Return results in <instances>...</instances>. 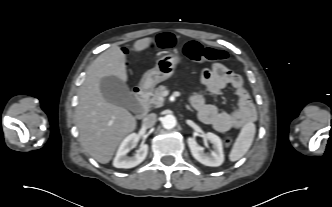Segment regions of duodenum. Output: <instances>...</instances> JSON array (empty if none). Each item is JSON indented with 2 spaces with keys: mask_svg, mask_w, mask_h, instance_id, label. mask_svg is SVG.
Segmentation results:
<instances>
[{
  "mask_svg": "<svg viewBox=\"0 0 332 207\" xmlns=\"http://www.w3.org/2000/svg\"><path fill=\"white\" fill-rule=\"evenodd\" d=\"M134 96L140 105L137 116L138 118L142 119L148 111L147 102L149 96V89L145 86L138 87L137 89H135Z\"/></svg>",
  "mask_w": 332,
  "mask_h": 207,
  "instance_id": "duodenum-1",
  "label": "duodenum"
}]
</instances>
